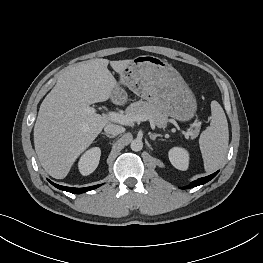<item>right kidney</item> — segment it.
<instances>
[{
  "label": "right kidney",
  "mask_w": 263,
  "mask_h": 263,
  "mask_svg": "<svg viewBox=\"0 0 263 263\" xmlns=\"http://www.w3.org/2000/svg\"><path fill=\"white\" fill-rule=\"evenodd\" d=\"M101 150L99 147H93L87 150L78 162V168L82 175L87 176L94 172L99 164Z\"/></svg>",
  "instance_id": "ca27d5eb"
}]
</instances>
